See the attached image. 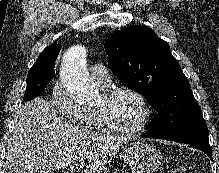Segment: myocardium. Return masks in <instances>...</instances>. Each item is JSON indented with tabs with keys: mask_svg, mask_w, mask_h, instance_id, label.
Instances as JSON below:
<instances>
[{
	"mask_svg": "<svg viewBox=\"0 0 219 173\" xmlns=\"http://www.w3.org/2000/svg\"><path fill=\"white\" fill-rule=\"evenodd\" d=\"M122 93H128L134 96L142 106V117L139 124L135 128L131 130H124L115 126L109 118L105 107H98L96 112L102 125L107 131L122 137H134L143 132L148 125L152 113L151 106L146 97L140 91L129 86H115L108 88L103 92V97L106 102H109L117 95Z\"/></svg>",
	"mask_w": 219,
	"mask_h": 173,
	"instance_id": "1",
	"label": "myocardium"
}]
</instances>
